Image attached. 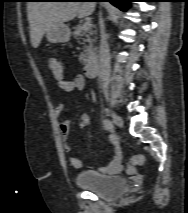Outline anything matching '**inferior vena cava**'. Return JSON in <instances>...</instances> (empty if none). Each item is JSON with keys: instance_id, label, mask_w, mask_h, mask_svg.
I'll return each instance as SVG.
<instances>
[{"instance_id": "602c4592", "label": "inferior vena cava", "mask_w": 188, "mask_h": 213, "mask_svg": "<svg viewBox=\"0 0 188 213\" xmlns=\"http://www.w3.org/2000/svg\"><path fill=\"white\" fill-rule=\"evenodd\" d=\"M100 50H99V61H100V74L103 82V88H108V79L110 75V53L107 43V35L103 21L100 18Z\"/></svg>"}]
</instances>
